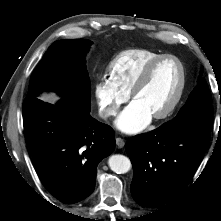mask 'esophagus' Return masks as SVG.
Here are the masks:
<instances>
[{
  "label": "esophagus",
  "mask_w": 221,
  "mask_h": 221,
  "mask_svg": "<svg viewBox=\"0 0 221 221\" xmlns=\"http://www.w3.org/2000/svg\"><path fill=\"white\" fill-rule=\"evenodd\" d=\"M116 145L118 146V148H123L125 145V142L122 138L117 137L116 138Z\"/></svg>",
  "instance_id": "esophagus-1"
}]
</instances>
